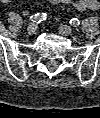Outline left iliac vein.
Instances as JSON below:
<instances>
[{"mask_svg": "<svg viewBox=\"0 0 100 118\" xmlns=\"http://www.w3.org/2000/svg\"><path fill=\"white\" fill-rule=\"evenodd\" d=\"M59 32L60 34H62L63 36H69L72 34V28L67 26V25H61L59 27Z\"/></svg>", "mask_w": 100, "mask_h": 118, "instance_id": "4c4485c4", "label": "left iliac vein"}]
</instances>
